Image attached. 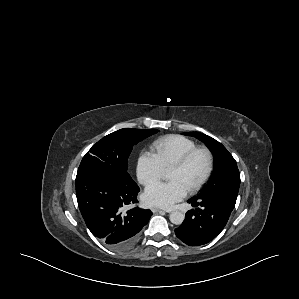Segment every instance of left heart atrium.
<instances>
[{"label":"left heart atrium","instance_id":"left-heart-atrium-1","mask_svg":"<svg viewBox=\"0 0 299 299\" xmlns=\"http://www.w3.org/2000/svg\"><path fill=\"white\" fill-rule=\"evenodd\" d=\"M187 193V189L178 181L156 182L149 185L143 194V201L149 206L169 209Z\"/></svg>","mask_w":299,"mask_h":299}]
</instances>
